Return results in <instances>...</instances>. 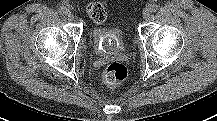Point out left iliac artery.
Here are the masks:
<instances>
[{
  "instance_id": "1",
  "label": "left iliac artery",
  "mask_w": 217,
  "mask_h": 121,
  "mask_svg": "<svg viewBox=\"0 0 217 121\" xmlns=\"http://www.w3.org/2000/svg\"><path fill=\"white\" fill-rule=\"evenodd\" d=\"M158 9H159V6H158L157 4H153V5L150 7L151 12H156Z\"/></svg>"
}]
</instances>
